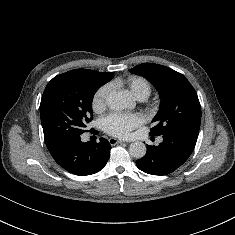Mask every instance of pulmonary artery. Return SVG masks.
Returning a JSON list of instances; mask_svg holds the SVG:
<instances>
[{"mask_svg":"<svg viewBox=\"0 0 235 235\" xmlns=\"http://www.w3.org/2000/svg\"><path fill=\"white\" fill-rule=\"evenodd\" d=\"M162 141V139H159V142H161Z\"/></svg>","mask_w":235,"mask_h":235,"instance_id":"e3ab8cb5","label":"pulmonary artery"}]
</instances>
